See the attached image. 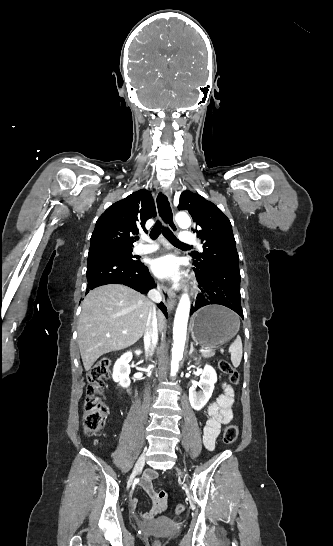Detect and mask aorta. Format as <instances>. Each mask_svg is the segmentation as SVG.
Listing matches in <instances>:
<instances>
[{"mask_svg":"<svg viewBox=\"0 0 333 546\" xmlns=\"http://www.w3.org/2000/svg\"><path fill=\"white\" fill-rule=\"evenodd\" d=\"M176 222L181 228H188L191 225V219L185 212H180L175 217ZM190 311V299L188 294H183L178 308L176 310L173 327V348L171 359V375L175 376L179 370V362L183 358L184 346L186 341L187 323Z\"/></svg>","mask_w":333,"mask_h":546,"instance_id":"762f6f07","label":"aorta"}]
</instances>
